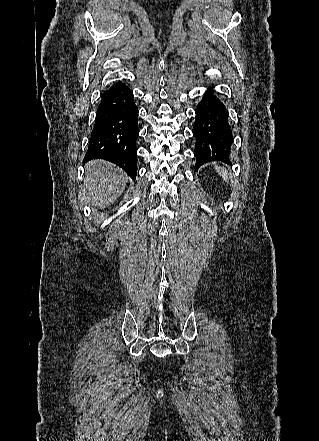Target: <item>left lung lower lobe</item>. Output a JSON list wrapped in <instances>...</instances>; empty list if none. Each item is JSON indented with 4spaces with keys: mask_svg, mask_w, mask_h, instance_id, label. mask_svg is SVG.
Returning <instances> with one entry per match:
<instances>
[{
    "mask_svg": "<svg viewBox=\"0 0 319 441\" xmlns=\"http://www.w3.org/2000/svg\"><path fill=\"white\" fill-rule=\"evenodd\" d=\"M195 114L193 135L196 140V168L209 161L228 163L233 137L224 104L213 95L212 90H208Z\"/></svg>",
    "mask_w": 319,
    "mask_h": 441,
    "instance_id": "1",
    "label": "left lung lower lobe"
}]
</instances>
